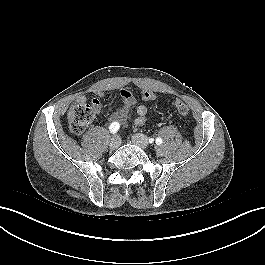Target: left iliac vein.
<instances>
[{"instance_id":"4c4485c4","label":"left iliac vein","mask_w":265,"mask_h":265,"mask_svg":"<svg viewBox=\"0 0 265 265\" xmlns=\"http://www.w3.org/2000/svg\"><path fill=\"white\" fill-rule=\"evenodd\" d=\"M132 142L142 149H146L149 145L148 139L143 134H135L132 136Z\"/></svg>"}]
</instances>
